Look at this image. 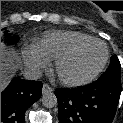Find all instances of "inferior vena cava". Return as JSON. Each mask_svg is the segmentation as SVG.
<instances>
[{"label":"inferior vena cava","mask_w":123,"mask_h":123,"mask_svg":"<svg viewBox=\"0 0 123 123\" xmlns=\"http://www.w3.org/2000/svg\"><path fill=\"white\" fill-rule=\"evenodd\" d=\"M23 76L26 80H37L42 76V71L35 67H26L23 70Z\"/></svg>","instance_id":"602c4592"}]
</instances>
